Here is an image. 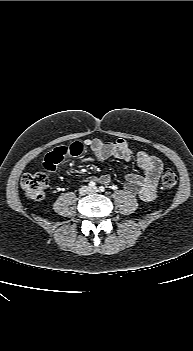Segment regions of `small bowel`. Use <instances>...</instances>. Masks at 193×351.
<instances>
[{
    "label": "small bowel",
    "mask_w": 193,
    "mask_h": 351,
    "mask_svg": "<svg viewBox=\"0 0 193 351\" xmlns=\"http://www.w3.org/2000/svg\"><path fill=\"white\" fill-rule=\"evenodd\" d=\"M86 149H90L93 157H85L83 162L94 159L104 161L108 159H121L134 161L143 171V174L128 172L125 176L126 182L124 190L130 195H138L144 201L154 199L157 191L158 181L163 171V163L146 152L134 153L124 139L115 141H104L99 138L76 141L70 144H62L53 149L45 156L44 169L53 172L59 163L66 159H76L83 154ZM89 180L108 184L111 181L109 175L99 177H89Z\"/></svg>",
    "instance_id": "1"
}]
</instances>
